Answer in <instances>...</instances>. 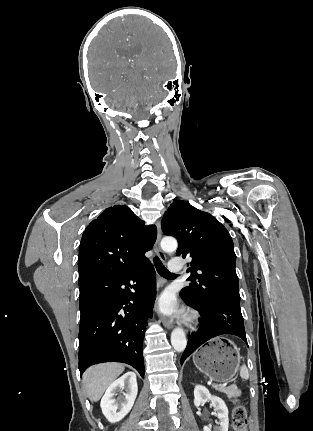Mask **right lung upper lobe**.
<instances>
[{"instance_id":"obj_1","label":"right lung upper lobe","mask_w":313,"mask_h":431,"mask_svg":"<svg viewBox=\"0 0 313 431\" xmlns=\"http://www.w3.org/2000/svg\"><path fill=\"white\" fill-rule=\"evenodd\" d=\"M157 228L145 226L125 205L105 209L83 233L78 257L79 281L137 270L156 240Z\"/></svg>"}]
</instances>
